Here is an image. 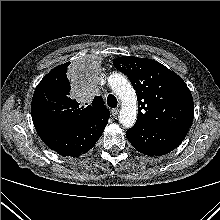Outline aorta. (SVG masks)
<instances>
[{"label": "aorta", "mask_w": 220, "mask_h": 220, "mask_svg": "<svg viewBox=\"0 0 220 220\" xmlns=\"http://www.w3.org/2000/svg\"><path fill=\"white\" fill-rule=\"evenodd\" d=\"M108 84L121 100L119 122L126 128L132 127L137 119V96L129 80L120 73L108 77Z\"/></svg>", "instance_id": "obj_1"}]
</instances>
